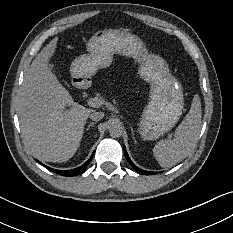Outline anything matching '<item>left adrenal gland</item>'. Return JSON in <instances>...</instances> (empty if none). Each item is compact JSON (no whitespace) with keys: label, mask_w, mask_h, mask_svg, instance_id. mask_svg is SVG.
I'll list each match as a JSON object with an SVG mask.
<instances>
[{"label":"left adrenal gland","mask_w":233,"mask_h":233,"mask_svg":"<svg viewBox=\"0 0 233 233\" xmlns=\"http://www.w3.org/2000/svg\"><path fill=\"white\" fill-rule=\"evenodd\" d=\"M130 128H131V132H132V138L134 140L135 143H137L136 139H135V134H134V130L132 128V126L130 125Z\"/></svg>","instance_id":"a2214340"}]
</instances>
